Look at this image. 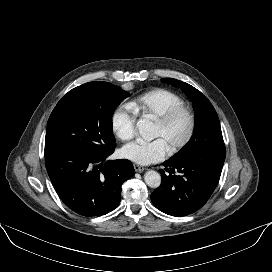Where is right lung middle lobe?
I'll return each mask as SVG.
<instances>
[{
  "label": "right lung middle lobe",
  "mask_w": 272,
  "mask_h": 272,
  "mask_svg": "<svg viewBox=\"0 0 272 272\" xmlns=\"http://www.w3.org/2000/svg\"><path fill=\"white\" fill-rule=\"evenodd\" d=\"M84 95L57 104L45 137V158L65 150H106L114 146L112 115L129 93L108 82L86 83Z\"/></svg>",
  "instance_id": "right-lung-middle-lobe-1"
}]
</instances>
